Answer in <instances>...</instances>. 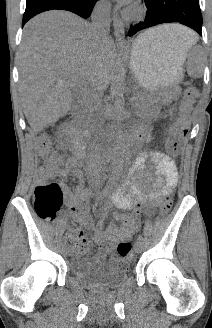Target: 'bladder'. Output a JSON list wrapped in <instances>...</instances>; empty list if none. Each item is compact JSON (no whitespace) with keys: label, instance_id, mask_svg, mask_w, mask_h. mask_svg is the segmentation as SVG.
Returning a JSON list of instances; mask_svg holds the SVG:
<instances>
[{"label":"bladder","instance_id":"1","mask_svg":"<svg viewBox=\"0 0 212 328\" xmlns=\"http://www.w3.org/2000/svg\"><path fill=\"white\" fill-rule=\"evenodd\" d=\"M70 271L79 284L95 291L116 289L128 279L126 271L116 270L105 274L94 273L88 267V260L78 256H74L71 260Z\"/></svg>","mask_w":212,"mask_h":328}]
</instances>
